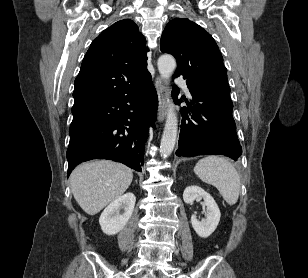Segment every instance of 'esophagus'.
I'll return each instance as SVG.
<instances>
[{"label":"esophagus","mask_w":308,"mask_h":278,"mask_svg":"<svg viewBox=\"0 0 308 278\" xmlns=\"http://www.w3.org/2000/svg\"><path fill=\"white\" fill-rule=\"evenodd\" d=\"M155 87L158 94V121L162 122L167 113V90L161 77L156 76Z\"/></svg>","instance_id":"obj_1"}]
</instances>
